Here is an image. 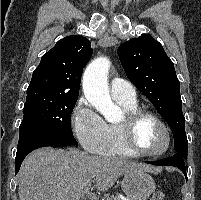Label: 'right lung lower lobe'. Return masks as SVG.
<instances>
[{
	"mask_svg": "<svg viewBox=\"0 0 201 200\" xmlns=\"http://www.w3.org/2000/svg\"><path fill=\"white\" fill-rule=\"evenodd\" d=\"M78 145L73 136L63 135L50 129L32 128L19 132V142L15 158V174L18 173L24 158L34 149L52 146Z\"/></svg>",
	"mask_w": 201,
	"mask_h": 200,
	"instance_id": "98d812e1",
	"label": "right lung lower lobe"
}]
</instances>
